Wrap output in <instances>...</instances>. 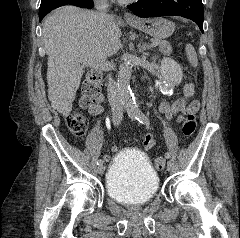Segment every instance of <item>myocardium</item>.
I'll list each match as a JSON object with an SVG mask.
<instances>
[{
    "mask_svg": "<svg viewBox=\"0 0 240 238\" xmlns=\"http://www.w3.org/2000/svg\"><path fill=\"white\" fill-rule=\"evenodd\" d=\"M125 2H132V1H137V0H124Z\"/></svg>",
    "mask_w": 240,
    "mask_h": 238,
    "instance_id": "1",
    "label": "myocardium"
}]
</instances>
